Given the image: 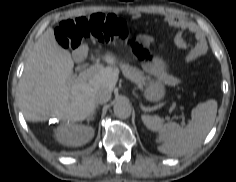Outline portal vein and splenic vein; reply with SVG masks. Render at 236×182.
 I'll use <instances>...</instances> for the list:
<instances>
[{"label":"portal vein and splenic vein","instance_id":"1","mask_svg":"<svg viewBox=\"0 0 236 182\" xmlns=\"http://www.w3.org/2000/svg\"><path fill=\"white\" fill-rule=\"evenodd\" d=\"M102 68L98 65L91 66L87 69H84L80 72L79 76L83 79H88L95 74H97Z\"/></svg>","mask_w":236,"mask_h":182}]
</instances>
